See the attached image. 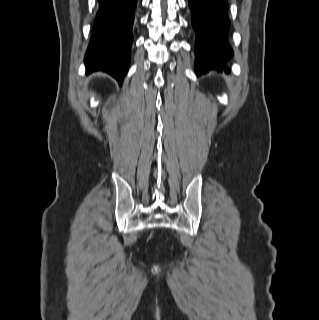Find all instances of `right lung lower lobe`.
Instances as JSON below:
<instances>
[{"label": "right lung lower lobe", "instance_id": "98d812e1", "mask_svg": "<svg viewBox=\"0 0 319 320\" xmlns=\"http://www.w3.org/2000/svg\"><path fill=\"white\" fill-rule=\"evenodd\" d=\"M98 3L84 58L86 70L107 72L122 83L129 68L137 0H98Z\"/></svg>", "mask_w": 319, "mask_h": 320}]
</instances>
